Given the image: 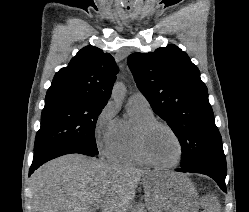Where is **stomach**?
Segmentation results:
<instances>
[{
    "mask_svg": "<svg viewBox=\"0 0 249 212\" xmlns=\"http://www.w3.org/2000/svg\"><path fill=\"white\" fill-rule=\"evenodd\" d=\"M143 186L149 212H198L199 196L190 180L177 170H154V175L143 178Z\"/></svg>",
    "mask_w": 249,
    "mask_h": 212,
    "instance_id": "stomach-1",
    "label": "stomach"
}]
</instances>
